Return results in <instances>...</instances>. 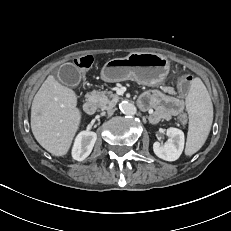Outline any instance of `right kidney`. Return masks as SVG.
Here are the masks:
<instances>
[{
    "instance_id": "ca27d5eb",
    "label": "right kidney",
    "mask_w": 231,
    "mask_h": 231,
    "mask_svg": "<svg viewBox=\"0 0 231 231\" xmlns=\"http://www.w3.org/2000/svg\"><path fill=\"white\" fill-rule=\"evenodd\" d=\"M97 140V134L92 131L80 132L74 142L72 148V157L77 161H83L87 158Z\"/></svg>"
}]
</instances>
